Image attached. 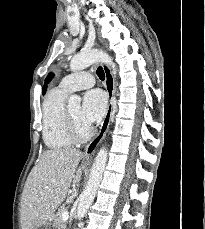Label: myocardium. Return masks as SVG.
<instances>
[{
    "instance_id": "f54148a6",
    "label": "myocardium",
    "mask_w": 205,
    "mask_h": 229,
    "mask_svg": "<svg viewBox=\"0 0 205 229\" xmlns=\"http://www.w3.org/2000/svg\"><path fill=\"white\" fill-rule=\"evenodd\" d=\"M65 122H66L67 132L74 142L86 141L91 137L93 133L92 128L89 126H87L86 129L80 128L77 121L72 116L69 108L65 109Z\"/></svg>"
}]
</instances>
